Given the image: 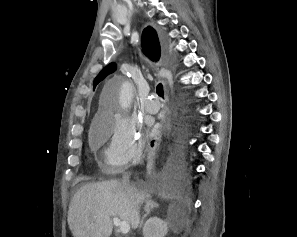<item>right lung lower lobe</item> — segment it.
<instances>
[{"label": "right lung lower lobe", "mask_w": 297, "mask_h": 237, "mask_svg": "<svg viewBox=\"0 0 297 237\" xmlns=\"http://www.w3.org/2000/svg\"><path fill=\"white\" fill-rule=\"evenodd\" d=\"M179 152H180V149L179 147L176 146V148L174 149V152L172 153L170 159L168 160V163L164 169V173H169L179 168V164L181 160V154Z\"/></svg>", "instance_id": "1"}]
</instances>
